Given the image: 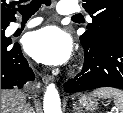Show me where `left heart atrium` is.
<instances>
[{
  "label": "left heart atrium",
  "mask_w": 123,
  "mask_h": 113,
  "mask_svg": "<svg viewBox=\"0 0 123 113\" xmlns=\"http://www.w3.org/2000/svg\"><path fill=\"white\" fill-rule=\"evenodd\" d=\"M70 36L56 26H47L30 33L25 42L27 53L36 61L59 65L65 63L72 53Z\"/></svg>",
  "instance_id": "left-heart-atrium-1"
}]
</instances>
